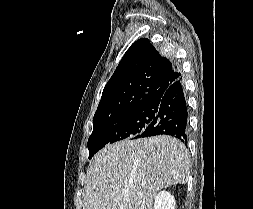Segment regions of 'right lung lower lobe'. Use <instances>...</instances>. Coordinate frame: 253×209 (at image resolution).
Listing matches in <instances>:
<instances>
[{
	"label": "right lung lower lobe",
	"mask_w": 253,
	"mask_h": 209,
	"mask_svg": "<svg viewBox=\"0 0 253 209\" xmlns=\"http://www.w3.org/2000/svg\"><path fill=\"white\" fill-rule=\"evenodd\" d=\"M156 115L152 122L139 134V138L170 135L183 143L187 142L188 110L181 78L173 82L162 97L150 104Z\"/></svg>",
	"instance_id": "1"
}]
</instances>
